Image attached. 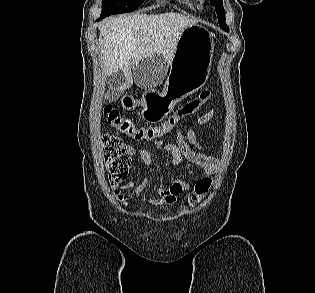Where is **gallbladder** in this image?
I'll use <instances>...</instances> for the list:
<instances>
[{
    "instance_id": "bac80fb5",
    "label": "gallbladder",
    "mask_w": 315,
    "mask_h": 293,
    "mask_svg": "<svg viewBox=\"0 0 315 293\" xmlns=\"http://www.w3.org/2000/svg\"><path fill=\"white\" fill-rule=\"evenodd\" d=\"M125 82L124 74L122 71H118L117 73H113L112 75L107 77V84L110 88V96L109 100H115L116 96L112 95L113 93H119L118 88L122 86Z\"/></svg>"
}]
</instances>
